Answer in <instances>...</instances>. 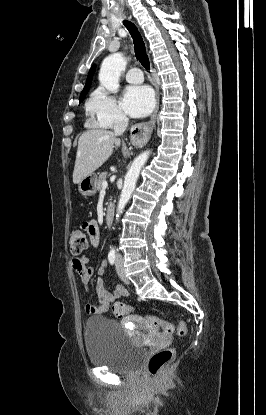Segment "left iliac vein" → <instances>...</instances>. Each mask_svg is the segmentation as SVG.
<instances>
[{
    "label": "left iliac vein",
    "instance_id": "left-iliac-vein-1",
    "mask_svg": "<svg viewBox=\"0 0 266 415\" xmlns=\"http://www.w3.org/2000/svg\"><path fill=\"white\" fill-rule=\"evenodd\" d=\"M116 271L118 273V276L120 277V279L124 282V283H129V279L127 278V276L124 273V268H123V260L121 257H117L116 260Z\"/></svg>",
    "mask_w": 266,
    "mask_h": 415
}]
</instances>
